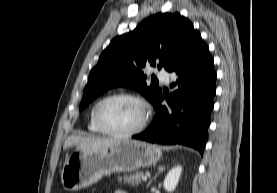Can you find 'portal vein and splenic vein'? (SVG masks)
Here are the masks:
<instances>
[{
    "label": "portal vein and splenic vein",
    "instance_id": "obj_1",
    "mask_svg": "<svg viewBox=\"0 0 277 193\" xmlns=\"http://www.w3.org/2000/svg\"><path fill=\"white\" fill-rule=\"evenodd\" d=\"M142 180L146 181L147 180V176H142Z\"/></svg>",
    "mask_w": 277,
    "mask_h": 193
}]
</instances>
